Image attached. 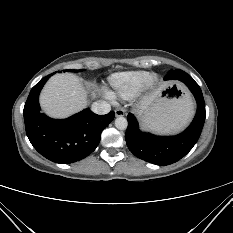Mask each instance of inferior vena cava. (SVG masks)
Instances as JSON below:
<instances>
[{
    "instance_id": "602c4592",
    "label": "inferior vena cava",
    "mask_w": 233,
    "mask_h": 233,
    "mask_svg": "<svg viewBox=\"0 0 233 233\" xmlns=\"http://www.w3.org/2000/svg\"><path fill=\"white\" fill-rule=\"evenodd\" d=\"M91 110L99 115H104L110 112L111 106L105 101H96L92 104Z\"/></svg>"
}]
</instances>
